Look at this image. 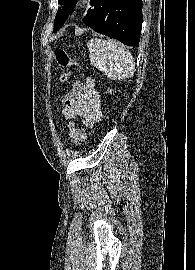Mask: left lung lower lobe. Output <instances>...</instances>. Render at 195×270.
Returning <instances> with one entry per match:
<instances>
[{"instance_id":"obj_1","label":"left lung lower lobe","mask_w":195,"mask_h":270,"mask_svg":"<svg viewBox=\"0 0 195 270\" xmlns=\"http://www.w3.org/2000/svg\"><path fill=\"white\" fill-rule=\"evenodd\" d=\"M83 22L94 31L139 46L142 27V0H91Z\"/></svg>"}]
</instances>
